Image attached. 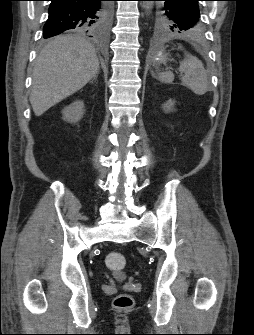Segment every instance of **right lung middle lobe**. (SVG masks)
<instances>
[{
    "mask_svg": "<svg viewBox=\"0 0 254 335\" xmlns=\"http://www.w3.org/2000/svg\"><path fill=\"white\" fill-rule=\"evenodd\" d=\"M110 4L109 3H103L102 5V11L100 13V18L97 21V23H95V25L91 28L90 31H86V30H78V32L80 33H84V32H100L103 31L107 28L108 23H109V19H110Z\"/></svg>",
    "mask_w": 254,
    "mask_h": 335,
    "instance_id": "dd1d6c3e",
    "label": "right lung middle lobe"
}]
</instances>
